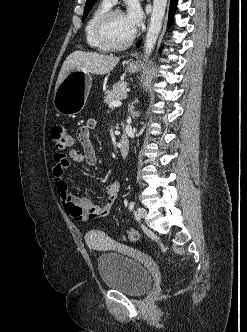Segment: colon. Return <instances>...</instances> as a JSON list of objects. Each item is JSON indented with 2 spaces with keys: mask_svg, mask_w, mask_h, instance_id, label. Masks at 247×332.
<instances>
[{
  "mask_svg": "<svg viewBox=\"0 0 247 332\" xmlns=\"http://www.w3.org/2000/svg\"><path fill=\"white\" fill-rule=\"evenodd\" d=\"M51 136L54 146L58 150H64L72 145V137L62 124H56L52 127ZM125 238L131 242H137L140 239V234L136 229H130Z\"/></svg>",
  "mask_w": 247,
  "mask_h": 332,
  "instance_id": "1",
  "label": "colon"
}]
</instances>
